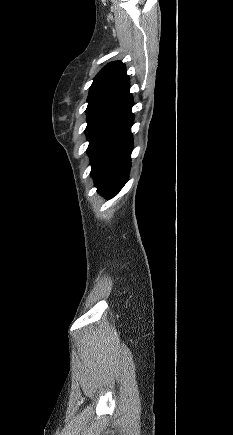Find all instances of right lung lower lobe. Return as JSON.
I'll return each mask as SVG.
<instances>
[{
  "label": "right lung lower lobe",
  "instance_id": "98d812e1",
  "mask_svg": "<svg viewBox=\"0 0 233 435\" xmlns=\"http://www.w3.org/2000/svg\"><path fill=\"white\" fill-rule=\"evenodd\" d=\"M133 120L134 115L130 113L90 154L95 187L106 199L114 197L128 180L133 149L130 130Z\"/></svg>",
  "mask_w": 233,
  "mask_h": 435
}]
</instances>
